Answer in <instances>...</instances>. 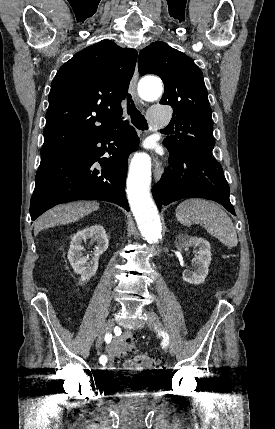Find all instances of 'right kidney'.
<instances>
[{"label": "right kidney", "mask_w": 275, "mask_h": 429, "mask_svg": "<svg viewBox=\"0 0 275 429\" xmlns=\"http://www.w3.org/2000/svg\"><path fill=\"white\" fill-rule=\"evenodd\" d=\"M86 240H90V244L94 242L97 243L91 260L89 257H84L82 254V242H86ZM108 245L109 240L107 238L106 231L103 226L100 225L86 227L71 237L67 257L74 272L81 275V282L88 281L95 275L98 269L99 257L107 250Z\"/></svg>", "instance_id": "obj_1"}]
</instances>
